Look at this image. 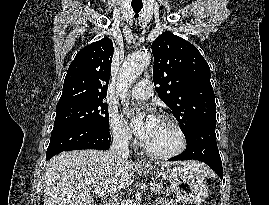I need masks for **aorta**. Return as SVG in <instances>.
<instances>
[{
	"instance_id": "762f6f07",
	"label": "aorta",
	"mask_w": 269,
	"mask_h": 205,
	"mask_svg": "<svg viewBox=\"0 0 269 205\" xmlns=\"http://www.w3.org/2000/svg\"><path fill=\"white\" fill-rule=\"evenodd\" d=\"M151 55L148 52H136L129 55L123 63L119 78V89L126 90L130 85L150 64ZM124 113L130 115L126 108Z\"/></svg>"
}]
</instances>
